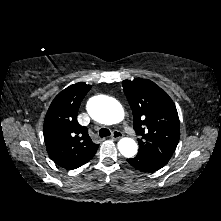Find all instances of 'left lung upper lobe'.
<instances>
[{
  "label": "left lung upper lobe",
  "instance_id": "left-lung-upper-lobe-1",
  "mask_svg": "<svg viewBox=\"0 0 221 221\" xmlns=\"http://www.w3.org/2000/svg\"><path fill=\"white\" fill-rule=\"evenodd\" d=\"M122 86L133 112L134 129L140 136L138 153L167 164L180 134L174 102L148 79L124 80Z\"/></svg>",
  "mask_w": 221,
  "mask_h": 221
}]
</instances>
